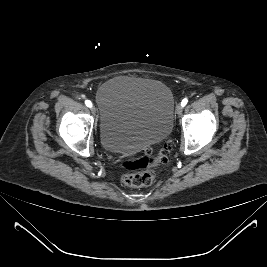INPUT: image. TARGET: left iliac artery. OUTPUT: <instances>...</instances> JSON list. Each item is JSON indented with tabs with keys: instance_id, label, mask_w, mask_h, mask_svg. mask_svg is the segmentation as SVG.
Listing matches in <instances>:
<instances>
[{
	"instance_id": "1",
	"label": "left iliac artery",
	"mask_w": 267,
	"mask_h": 267,
	"mask_svg": "<svg viewBox=\"0 0 267 267\" xmlns=\"http://www.w3.org/2000/svg\"><path fill=\"white\" fill-rule=\"evenodd\" d=\"M187 102H188L187 98L183 99L181 102L182 106L184 107L187 104Z\"/></svg>"
}]
</instances>
